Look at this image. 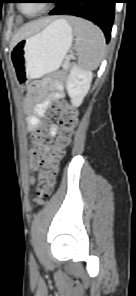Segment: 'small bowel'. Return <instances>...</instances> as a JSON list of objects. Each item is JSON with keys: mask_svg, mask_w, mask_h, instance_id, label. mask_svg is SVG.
Listing matches in <instances>:
<instances>
[{"mask_svg": "<svg viewBox=\"0 0 136 296\" xmlns=\"http://www.w3.org/2000/svg\"><path fill=\"white\" fill-rule=\"evenodd\" d=\"M39 85L34 83L31 87V93L26 99L27 130L29 133H35L41 127V120L45 109L51 102L60 101L65 96L64 86L62 84H54L51 87L50 93L46 96L39 95ZM57 131V126L50 127V135L54 136Z\"/></svg>", "mask_w": 136, "mask_h": 296, "instance_id": "obj_1", "label": "small bowel"}]
</instances>
